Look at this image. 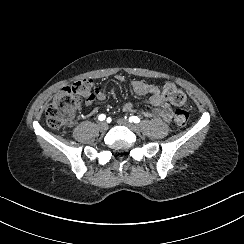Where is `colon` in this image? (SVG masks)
I'll return each instance as SVG.
<instances>
[{"mask_svg":"<svg viewBox=\"0 0 244 244\" xmlns=\"http://www.w3.org/2000/svg\"><path fill=\"white\" fill-rule=\"evenodd\" d=\"M164 98L177 106L187 105L186 94L172 83L166 82L162 86ZM94 83L90 79H83L73 85L61 89L46 110V123L56 131H61L75 122V114L84 101L94 97ZM189 121V113L178 110L173 118L177 128H184Z\"/></svg>","mask_w":244,"mask_h":244,"instance_id":"colon-1","label":"colon"}]
</instances>
